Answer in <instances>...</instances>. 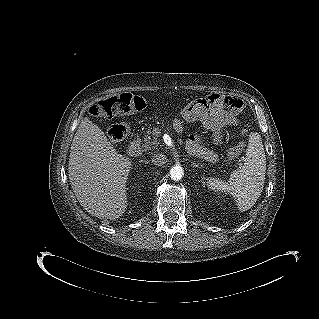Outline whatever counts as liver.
<instances>
[{
    "label": "liver",
    "instance_id": "obj_1",
    "mask_svg": "<svg viewBox=\"0 0 319 319\" xmlns=\"http://www.w3.org/2000/svg\"><path fill=\"white\" fill-rule=\"evenodd\" d=\"M131 166L96 124L82 119L71 144L68 173L72 190L87 212L107 219L123 215Z\"/></svg>",
    "mask_w": 319,
    "mask_h": 319
}]
</instances>
